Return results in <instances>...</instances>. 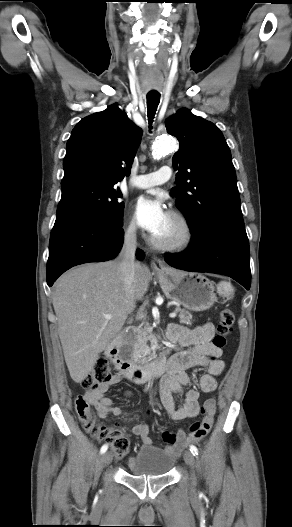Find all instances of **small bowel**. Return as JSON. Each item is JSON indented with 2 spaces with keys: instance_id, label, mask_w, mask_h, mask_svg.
<instances>
[{
  "instance_id": "c3829d8e",
  "label": "small bowel",
  "mask_w": 292,
  "mask_h": 527,
  "mask_svg": "<svg viewBox=\"0 0 292 527\" xmlns=\"http://www.w3.org/2000/svg\"><path fill=\"white\" fill-rule=\"evenodd\" d=\"M213 336L214 326L211 323L195 328L172 324L168 328V340L180 344L182 348L168 359L166 373L160 382V394L164 408L169 417L175 421L192 418L200 413L203 415L200 423H194L191 426L188 435L182 430L172 434V432L162 429L160 437L170 443L165 449L173 456L179 455L188 445L201 440L212 426L216 400L210 398L200 404L199 390L206 393L215 391L217 388L216 377L225 368V363L220 359L222 350L215 347L211 342ZM193 366L204 367L206 373L198 379L197 387H192L184 392L183 388L190 383L185 370ZM123 377L122 372H117L108 382L85 393L84 397L95 407L100 418L107 419L110 414L115 416L123 414L120 408L113 406L112 399L105 396L107 390L112 385L119 383ZM172 391L184 393L182 404H175L171 396ZM130 431L139 436L145 445L153 444L147 424H136L131 427Z\"/></svg>"
}]
</instances>
